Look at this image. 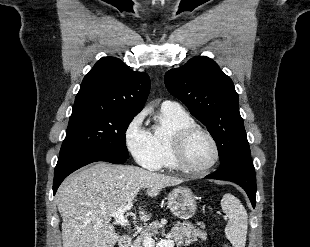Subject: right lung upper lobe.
<instances>
[{
	"mask_svg": "<svg viewBox=\"0 0 310 247\" xmlns=\"http://www.w3.org/2000/svg\"><path fill=\"white\" fill-rule=\"evenodd\" d=\"M150 90L144 72L130 70L120 59L101 58L84 77L73 111H114L137 115Z\"/></svg>",
	"mask_w": 310,
	"mask_h": 247,
	"instance_id": "right-lung-upper-lobe-1",
	"label": "right lung upper lobe"
}]
</instances>
